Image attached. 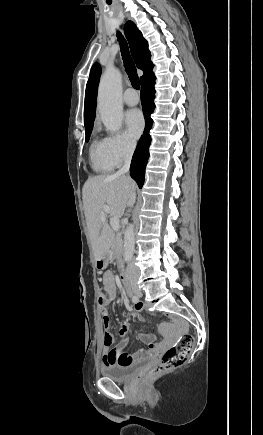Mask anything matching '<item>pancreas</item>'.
<instances>
[{
    "label": "pancreas",
    "instance_id": "1",
    "mask_svg": "<svg viewBox=\"0 0 263 435\" xmlns=\"http://www.w3.org/2000/svg\"><path fill=\"white\" fill-rule=\"evenodd\" d=\"M111 260H116L118 266L122 267V247H121V235L117 233L114 236L113 243L108 253Z\"/></svg>",
    "mask_w": 263,
    "mask_h": 435
}]
</instances>
